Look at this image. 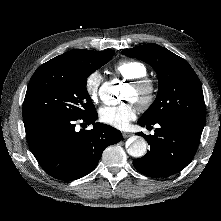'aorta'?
Instances as JSON below:
<instances>
[{"label": "aorta", "instance_id": "1", "mask_svg": "<svg viewBox=\"0 0 221 221\" xmlns=\"http://www.w3.org/2000/svg\"><path fill=\"white\" fill-rule=\"evenodd\" d=\"M102 93H106L108 97L113 99L114 97L119 96L120 86L104 84L101 88ZM147 151V142L142 137L135 138L131 145L127 148V152L130 156L135 158H140L146 154Z\"/></svg>", "mask_w": 221, "mask_h": 221}]
</instances>
